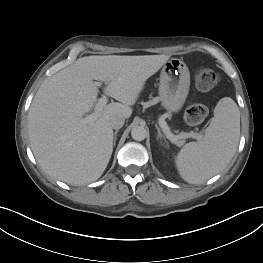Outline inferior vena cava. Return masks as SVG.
Listing matches in <instances>:
<instances>
[{
    "label": "inferior vena cava",
    "instance_id": "1",
    "mask_svg": "<svg viewBox=\"0 0 263 263\" xmlns=\"http://www.w3.org/2000/svg\"><path fill=\"white\" fill-rule=\"evenodd\" d=\"M124 122H125V118L124 116L122 115H116L114 116L111 121H110V125L113 129H120L123 125H124Z\"/></svg>",
    "mask_w": 263,
    "mask_h": 263
}]
</instances>
